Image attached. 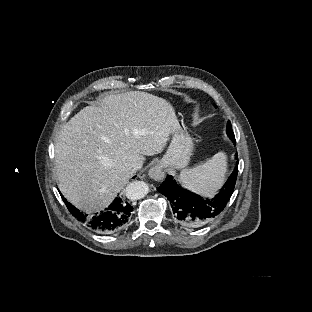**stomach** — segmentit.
Here are the masks:
<instances>
[{
  "instance_id": "stomach-1",
  "label": "stomach",
  "mask_w": 312,
  "mask_h": 312,
  "mask_svg": "<svg viewBox=\"0 0 312 312\" xmlns=\"http://www.w3.org/2000/svg\"><path fill=\"white\" fill-rule=\"evenodd\" d=\"M193 148V141L187 132L182 129L174 132L169 149L159 162V166L168 172L186 167Z\"/></svg>"
}]
</instances>
